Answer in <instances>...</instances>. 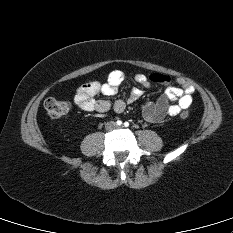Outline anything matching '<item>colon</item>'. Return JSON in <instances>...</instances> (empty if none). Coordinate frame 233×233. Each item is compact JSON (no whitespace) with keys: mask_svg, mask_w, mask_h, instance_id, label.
I'll return each instance as SVG.
<instances>
[{"mask_svg":"<svg viewBox=\"0 0 233 233\" xmlns=\"http://www.w3.org/2000/svg\"><path fill=\"white\" fill-rule=\"evenodd\" d=\"M47 114L51 118H60L69 113L71 109V105L68 101L59 100L55 98H48L44 103ZM180 117L182 119H186L189 117L188 111H182L180 113Z\"/></svg>","mask_w":233,"mask_h":233,"instance_id":"5ec220e1","label":"colon"}]
</instances>
